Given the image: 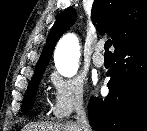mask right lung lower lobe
Segmentation results:
<instances>
[{"instance_id":"1","label":"right lung lower lobe","mask_w":147,"mask_h":131,"mask_svg":"<svg viewBox=\"0 0 147 131\" xmlns=\"http://www.w3.org/2000/svg\"><path fill=\"white\" fill-rule=\"evenodd\" d=\"M114 61L108 96L89 101L90 125L96 131H147V32L117 47Z\"/></svg>"}]
</instances>
